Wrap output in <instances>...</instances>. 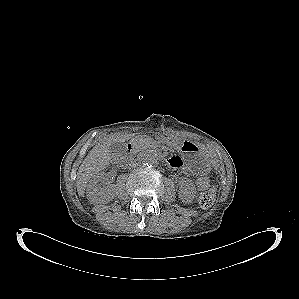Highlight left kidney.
<instances>
[{
  "label": "left kidney",
  "mask_w": 299,
  "mask_h": 299,
  "mask_svg": "<svg viewBox=\"0 0 299 299\" xmlns=\"http://www.w3.org/2000/svg\"><path fill=\"white\" fill-rule=\"evenodd\" d=\"M179 197L185 203H191L195 196V186L189 179L183 178L179 182Z\"/></svg>",
  "instance_id": "obj_1"
}]
</instances>
